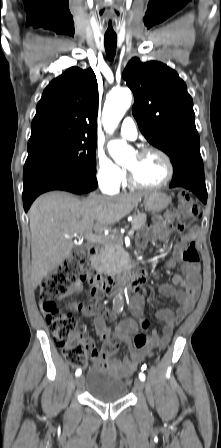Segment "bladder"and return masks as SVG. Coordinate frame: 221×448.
I'll return each instance as SVG.
<instances>
[{"instance_id": "1", "label": "bladder", "mask_w": 221, "mask_h": 448, "mask_svg": "<svg viewBox=\"0 0 221 448\" xmlns=\"http://www.w3.org/2000/svg\"><path fill=\"white\" fill-rule=\"evenodd\" d=\"M82 386L93 399L103 403L123 400L128 393V384L125 380L102 368H93L83 376Z\"/></svg>"}]
</instances>
